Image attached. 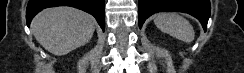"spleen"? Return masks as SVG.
<instances>
[{"label": "spleen", "mask_w": 244, "mask_h": 73, "mask_svg": "<svg viewBox=\"0 0 244 73\" xmlns=\"http://www.w3.org/2000/svg\"><path fill=\"white\" fill-rule=\"evenodd\" d=\"M154 23L162 32L185 43L194 40L195 32L192 25L177 13H160L154 17Z\"/></svg>", "instance_id": "1"}]
</instances>
